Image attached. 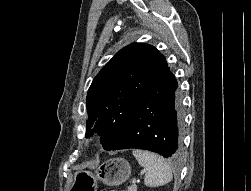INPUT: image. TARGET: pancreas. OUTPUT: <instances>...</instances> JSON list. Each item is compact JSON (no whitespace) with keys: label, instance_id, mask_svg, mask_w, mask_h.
Masks as SVG:
<instances>
[{"label":"pancreas","instance_id":"pancreas-1","mask_svg":"<svg viewBox=\"0 0 251 191\" xmlns=\"http://www.w3.org/2000/svg\"><path fill=\"white\" fill-rule=\"evenodd\" d=\"M125 191H136V185H132V187H128Z\"/></svg>","mask_w":251,"mask_h":191}]
</instances>
